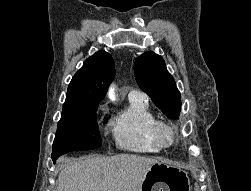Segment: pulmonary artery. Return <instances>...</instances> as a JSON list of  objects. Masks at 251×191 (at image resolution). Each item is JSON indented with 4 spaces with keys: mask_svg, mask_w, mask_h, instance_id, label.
Masks as SVG:
<instances>
[{
    "mask_svg": "<svg viewBox=\"0 0 251 191\" xmlns=\"http://www.w3.org/2000/svg\"><path fill=\"white\" fill-rule=\"evenodd\" d=\"M137 96H139V93L136 90L129 91V94H128L129 98H133V97H137Z\"/></svg>",
    "mask_w": 251,
    "mask_h": 191,
    "instance_id": "1",
    "label": "pulmonary artery"
}]
</instances>
